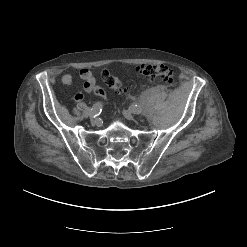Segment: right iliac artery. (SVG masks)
<instances>
[{
  "label": "right iliac artery",
  "instance_id": "right-iliac-artery-1",
  "mask_svg": "<svg viewBox=\"0 0 247 247\" xmlns=\"http://www.w3.org/2000/svg\"><path fill=\"white\" fill-rule=\"evenodd\" d=\"M89 110L94 115V117H96L101 113L102 104L100 102H97Z\"/></svg>",
  "mask_w": 247,
  "mask_h": 247
}]
</instances>
